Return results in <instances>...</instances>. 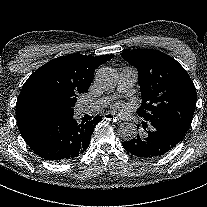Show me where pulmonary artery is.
I'll list each match as a JSON object with an SVG mask.
<instances>
[{
  "instance_id": "1",
  "label": "pulmonary artery",
  "mask_w": 207,
  "mask_h": 207,
  "mask_svg": "<svg viewBox=\"0 0 207 207\" xmlns=\"http://www.w3.org/2000/svg\"><path fill=\"white\" fill-rule=\"evenodd\" d=\"M137 80V72L134 69L131 68H124L120 72L119 77V84L118 89L119 91H126L130 89ZM108 102L107 98H101L89 103H86L83 106V112L84 113H91L100 110L104 106H106Z\"/></svg>"
}]
</instances>
